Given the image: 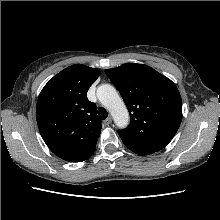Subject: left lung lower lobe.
<instances>
[{
	"label": "left lung lower lobe",
	"instance_id": "1",
	"mask_svg": "<svg viewBox=\"0 0 220 220\" xmlns=\"http://www.w3.org/2000/svg\"><path fill=\"white\" fill-rule=\"evenodd\" d=\"M136 154H139V155H148L149 153H136Z\"/></svg>",
	"mask_w": 220,
	"mask_h": 220
}]
</instances>
